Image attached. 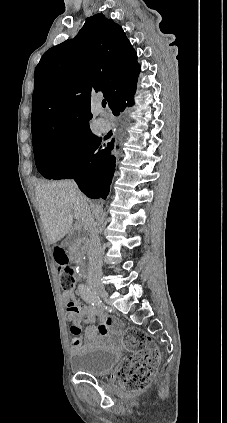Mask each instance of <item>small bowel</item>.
Masks as SVG:
<instances>
[{
    "label": "small bowel",
    "mask_w": 227,
    "mask_h": 423,
    "mask_svg": "<svg viewBox=\"0 0 227 423\" xmlns=\"http://www.w3.org/2000/svg\"><path fill=\"white\" fill-rule=\"evenodd\" d=\"M80 291V290H79ZM63 301L66 304V318L71 323L72 352H77L82 345L80 334V323H87L85 329V340L89 346L98 344L108 334L110 327L115 324V320L107 315L98 305H84L80 303L73 290H66L63 294ZM98 321V325L95 321Z\"/></svg>",
    "instance_id": "obj_1"
}]
</instances>
